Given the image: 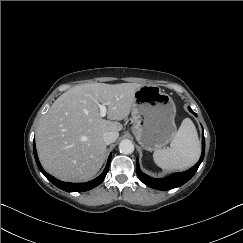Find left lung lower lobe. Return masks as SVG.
I'll return each instance as SVG.
<instances>
[{
	"label": "left lung lower lobe",
	"mask_w": 243,
	"mask_h": 243,
	"mask_svg": "<svg viewBox=\"0 0 243 243\" xmlns=\"http://www.w3.org/2000/svg\"><path fill=\"white\" fill-rule=\"evenodd\" d=\"M189 111L193 113L196 116V113L192 111L190 107H188ZM205 153V139L204 135L202 136V154L199 159V161L189 170L184 172H178L174 173L171 176L167 178H160L155 179L152 177H149L148 175L144 174L139 167V161L137 159L136 161V172L139 177V179L147 186L157 189V190H170L179 186H182L184 183H186L188 180H190L195 172L197 171L198 167L200 166Z\"/></svg>",
	"instance_id": "1"
}]
</instances>
